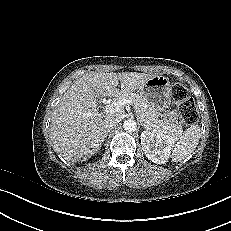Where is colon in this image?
I'll return each instance as SVG.
<instances>
[{
    "mask_svg": "<svg viewBox=\"0 0 231 231\" xmlns=\"http://www.w3.org/2000/svg\"><path fill=\"white\" fill-rule=\"evenodd\" d=\"M171 96L177 104L178 114L184 125L193 124L198 118L197 108L189 90L180 83L171 86Z\"/></svg>",
    "mask_w": 231,
    "mask_h": 231,
    "instance_id": "obj_1",
    "label": "colon"
}]
</instances>
